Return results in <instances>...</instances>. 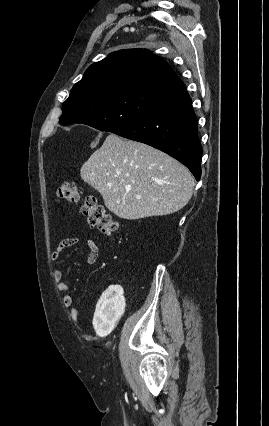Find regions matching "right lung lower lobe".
Wrapping results in <instances>:
<instances>
[{"label":"right lung lower lobe","instance_id":"1","mask_svg":"<svg viewBox=\"0 0 269 426\" xmlns=\"http://www.w3.org/2000/svg\"><path fill=\"white\" fill-rule=\"evenodd\" d=\"M112 133L169 154L183 163L197 181L200 179L202 147L197 118L183 82L165 87L142 117Z\"/></svg>","mask_w":269,"mask_h":426}]
</instances>
